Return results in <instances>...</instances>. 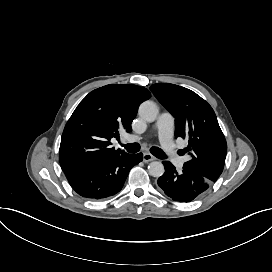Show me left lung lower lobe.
<instances>
[{
  "label": "left lung lower lobe",
  "mask_w": 272,
  "mask_h": 272,
  "mask_svg": "<svg viewBox=\"0 0 272 272\" xmlns=\"http://www.w3.org/2000/svg\"><path fill=\"white\" fill-rule=\"evenodd\" d=\"M165 173L159 177L158 186L172 200L191 202L203 195L213 184L199 173L183 167L178 173L168 161H163Z\"/></svg>",
  "instance_id": "1"
}]
</instances>
